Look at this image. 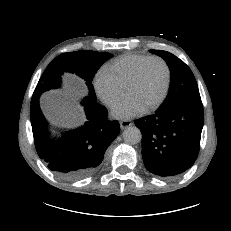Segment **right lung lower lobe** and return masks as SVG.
<instances>
[{
    "label": "right lung lower lobe",
    "instance_id": "obj_1",
    "mask_svg": "<svg viewBox=\"0 0 231 231\" xmlns=\"http://www.w3.org/2000/svg\"><path fill=\"white\" fill-rule=\"evenodd\" d=\"M39 95L31 100V125L35 148L48 168L59 176L78 180L92 175L106 149L119 135L117 121L107 120V109L96 101H84L87 122L76 130L52 137L39 107Z\"/></svg>",
    "mask_w": 231,
    "mask_h": 231
}]
</instances>
